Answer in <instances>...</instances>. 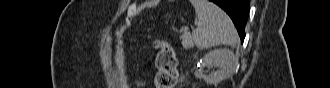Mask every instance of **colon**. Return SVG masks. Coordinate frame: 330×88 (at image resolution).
Segmentation results:
<instances>
[{
    "mask_svg": "<svg viewBox=\"0 0 330 88\" xmlns=\"http://www.w3.org/2000/svg\"><path fill=\"white\" fill-rule=\"evenodd\" d=\"M154 47L158 51L156 57V88H174L177 82V69L173 49L163 39L156 40ZM142 86V81L138 80L135 87L139 88Z\"/></svg>",
    "mask_w": 330,
    "mask_h": 88,
    "instance_id": "colon-1",
    "label": "colon"
}]
</instances>
